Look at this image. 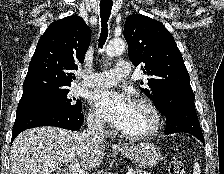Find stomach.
Returning a JSON list of instances; mask_svg holds the SVG:
<instances>
[{
  "label": "stomach",
  "instance_id": "1",
  "mask_svg": "<svg viewBox=\"0 0 224 174\" xmlns=\"http://www.w3.org/2000/svg\"><path fill=\"white\" fill-rule=\"evenodd\" d=\"M121 154L133 161L141 168L154 167L161 161L162 154L154 144L139 143L121 150Z\"/></svg>",
  "mask_w": 224,
  "mask_h": 174
}]
</instances>
